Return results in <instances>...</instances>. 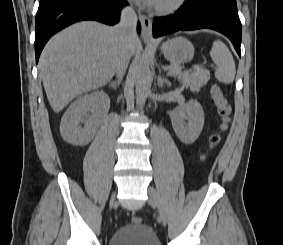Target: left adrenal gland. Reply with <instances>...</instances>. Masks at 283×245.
Segmentation results:
<instances>
[{"mask_svg":"<svg viewBox=\"0 0 283 245\" xmlns=\"http://www.w3.org/2000/svg\"><path fill=\"white\" fill-rule=\"evenodd\" d=\"M158 87L162 88L164 84H167L168 86H171V83L168 79L162 77L161 75L158 76Z\"/></svg>","mask_w":283,"mask_h":245,"instance_id":"1","label":"left adrenal gland"}]
</instances>
